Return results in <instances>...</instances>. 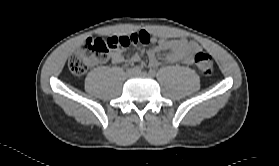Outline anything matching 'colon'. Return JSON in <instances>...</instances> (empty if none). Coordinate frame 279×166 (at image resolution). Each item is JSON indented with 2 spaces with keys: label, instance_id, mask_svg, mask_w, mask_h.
I'll use <instances>...</instances> for the list:
<instances>
[{
  "label": "colon",
  "instance_id": "obj_1",
  "mask_svg": "<svg viewBox=\"0 0 279 166\" xmlns=\"http://www.w3.org/2000/svg\"><path fill=\"white\" fill-rule=\"evenodd\" d=\"M136 38L129 36H118L109 38H89L80 50L73 54L68 60V67L73 74H84L91 66L105 62L109 52L116 48L125 49L131 44L137 43ZM141 43H146V36L139 38ZM198 70L204 75H210L214 68L212 56L206 52H198L194 57Z\"/></svg>",
  "mask_w": 279,
  "mask_h": 166
}]
</instances>
